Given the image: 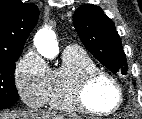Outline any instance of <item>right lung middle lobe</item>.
<instances>
[{
    "label": "right lung middle lobe",
    "mask_w": 142,
    "mask_h": 119,
    "mask_svg": "<svg viewBox=\"0 0 142 119\" xmlns=\"http://www.w3.org/2000/svg\"><path fill=\"white\" fill-rule=\"evenodd\" d=\"M20 54L0 56V105L11 107L19 98L15 86L14 71L15 62Z\"/></svg>",
    "instance_id": "1"
}]
</instances>
